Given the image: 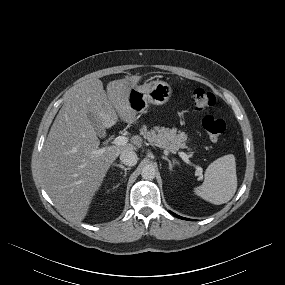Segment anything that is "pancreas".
<instances>
[{
  "mask_svg": "<svg viewBox=\"0 0 285 285\" xmlns=\"http://www.w3.org/2000/svg\"><path fill=\"white\" fill-rule=\"evenodd\" d=\"M141 134L150 144L163 148L168 152L175 153L178 149L187 148L185 144L187 134L184 132L177 133L176 129L156 126L154 129L148 130L143 127Z\"/></svg>",
  "mask_w": 285,
  "mask_h": 285,
  "instance_id": "pancreas-1",
  "label": "pancreas"
}]
</instances>
